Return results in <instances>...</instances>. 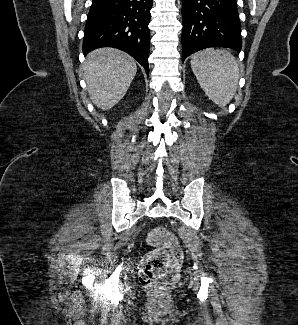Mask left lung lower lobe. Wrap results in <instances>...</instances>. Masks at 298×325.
<instances>
[{
  "mask_svg": "<svg viewBox=\"0 0 298 325\" xmlns=\"http://www.w3.org/2000/svg\"><path fill=\"white\" fill-rule=\"evenodd\" d=\"M182 61L208 47L240 52L241 25L236 0H183Z\"/></svg>",
  "mask_w": 298,
  "mask_h": 325,
  "instance_id": "0a47b994",
  "label": "left lung lower lobe"
}]
</instances>
